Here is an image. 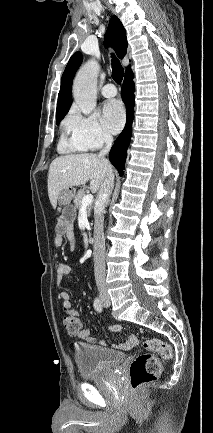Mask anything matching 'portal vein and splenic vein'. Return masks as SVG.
I'll use <instances>...</instances> for the list:
<instances>
[{
  "label": "portal vein and splenic vein",
  "mask_w": 213,
  "mask_h": 433,
  "mask_svg": "<svg viewBox=\"0 0 213 433\" xmlns=\"http://www.w3.org/2000/svg\"><path fill=\"white\" fill-rule=\"evenodd\" d=\"M93 201V195L92 194H87L83 197L82 199V207H86L88 205H90Z\"/></svg>",
  "instance_id": "portal-vein-and-splenic-vein-1"
}]
</instances>
